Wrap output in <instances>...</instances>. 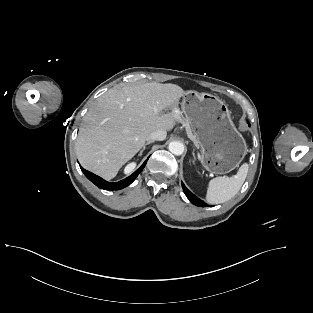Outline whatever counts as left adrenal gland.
Returning a JSON list of instances; mask_svg holds the SVG:
<instances>
[{
	"mask_svg": "<svg viewBox=\"0 0 313 313\" xmlns=\"http://www.w3.org/2000/svg\"><path fill=\"white\" fill-rule=\"evenodd\" d=\"M192 155H193V158H194V160H193V163L195 162V159H196V157H195V153L194 152H192Z\"/></svg>",
	"mask_w": 313,
	"mask_h": 313,
	"instance_id": "1",
	"label": "left adrenal gland"
}]
</instances>
